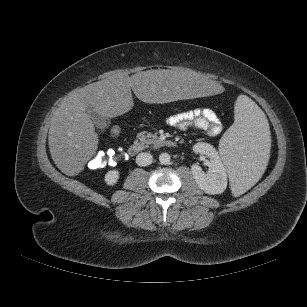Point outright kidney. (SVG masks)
I'll return each mask as SVG.
<instances>
[{
    "label": "right kidney",
    "mask_w": 307,
    "mask_h": 307,
    "mask_svg": "<svg viewBox=\"0 0 307 307\" xmlns=\"http://www.w3.org/2000/svg\"><path fill=\"white\" fill-rule=\"evenodd\" d=\"M119 177L120 174L118 170H110L105 175V182L107 185L113 186L117 183Z\"/></svg>",
    "instance_id": "1"
}]
</instances>
